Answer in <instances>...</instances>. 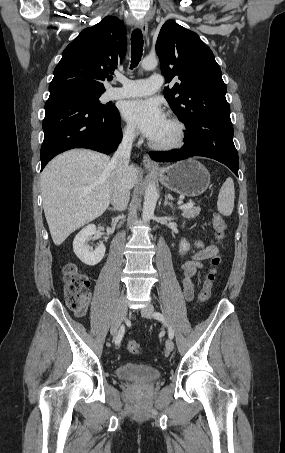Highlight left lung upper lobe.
<instances>
[{"mask_svg": "<svg viewBox=\"0 0 285 453\" xmlns=\"http://www.w3.org/2000/svg\"><path fill=\"white\" fill-rule=\"evenodd\" d=\"M156 52L166 83L180 80L164 90L174 113L185 125L201 119L230 120L227 88L211 49L199 36L169 20L162 26Z\"/></svg>", "mask_w": 285, "mask_h": 453, "instance_id": "5c2ea615", "label": "left lung upper lobe"}]
</instances>
